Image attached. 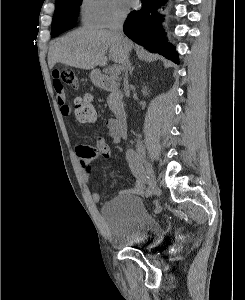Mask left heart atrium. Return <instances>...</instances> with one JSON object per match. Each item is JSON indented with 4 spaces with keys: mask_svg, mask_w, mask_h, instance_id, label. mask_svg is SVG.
I'll return each mask as SVG.
<instances>
[{
    "mask_svg": "<svg viewBox=\"0 0 245 300\" xmlns=\"http://www.w3.org/2000/svg\"><path fill=\"white\" fill-rule=\"evenodd\" d=\"M124 1H125V3H126L127 5H129V6H134L135 3H136V0H124Z\"/></svg>",
    "mask_w": 245,
    "mask_h": 300,
    "instance_id": "obj_1",
    "label": "left heart atrium"
}]
</instances>
